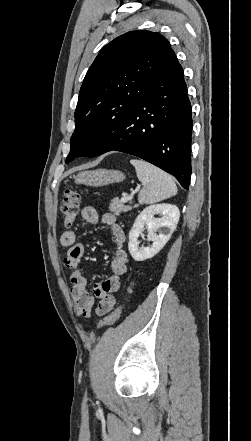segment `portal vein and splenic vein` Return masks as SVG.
<instances>
[{"mask_svg":"<svg viewBox=\"0 0 251 441\" xmlns=\"http://www.w3.org/2000/svg\"><path fill=\"white\" fill-rule=\"evenodd\" d=\"M134 193H135V191L132 192L131 195L128 196V197L123 196V197L121 198V202L125 203V202H128V201L132 200V198H133V194H134Z\"/></svg>","mask_w":251,"mask_h":441,"instance_id":"18ae733b","label":"portal vein and splenic vein"}]
</instances>
